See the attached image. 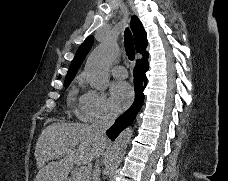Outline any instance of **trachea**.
Listing matches in <instances>:
<instances>
[{
	"mask_svg": "<svg viewBox=\"0 0 228 181\" xmlns=\"http://www.w3.org/2000/svg\"><path fill=\"white\" fill-rule=\"evenodd\" d=\"M124 47L126 51V55L129 58V60H134L135 58V48H134V42L133 37L131 34V31L126 28L124 32Z\"/></svg>",
	"mask_w": 228,
	"mask_h": 181,
	"instance_id": "3493384b",
	"label": "trachea"
}]
</instances>
